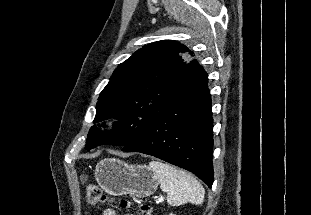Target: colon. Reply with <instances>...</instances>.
Listing matches in <instances>:
<instances>
[{"label": "colon", "mask_w": 311, "mask_h": 215, "mask_svg": "<svg viewBox=\"0 0 311 215\" xmlns=\"http://www.w3.org/2000/svg\"><path fill=\"white\" fill-rule=\"evenodd\" d=\"M82 181L85 185L86 199L88 204L91 206H99L110 201L106 194L97 185L88 183L85 176L82 177ZM119 205L122 209H126L129 207V202L122 199L119 202ZM141 212L143 215H147L149 213V208L143 205L141 207Z\"/></svg>", "instance_id": "1"}]
</instances>
